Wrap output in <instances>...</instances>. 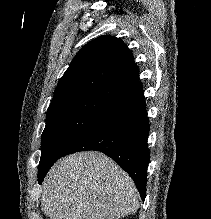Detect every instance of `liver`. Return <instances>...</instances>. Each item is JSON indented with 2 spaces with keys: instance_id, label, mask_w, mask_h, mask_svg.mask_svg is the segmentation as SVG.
<instances>
[{
  "instance_id": "liver-1",
  "label": "liver",
  "mask_w": 211,
  "mask_h": 219,
  "mask_svg": "<svg viewBox=\"0 0 211 219\" xmlns=\"http://www.w3.org/2000/svg\"><path fill=\"white\" fill-rule=\"evenodd\" d=\"M133 180L103 153L61 158L43 181L41 209L50 219H119L139 208Z\"/></svg>"
}]
</instances>
